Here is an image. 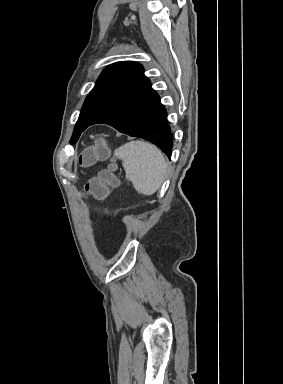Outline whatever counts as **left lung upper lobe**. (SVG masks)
<instances>
[{
	"label": "left lung upper lobe",
	"instance_id": "left-lung-upper-lobe-1",
	"mask_svg": "<svg viewBox=\"0 0 283 384\" xmlns=\"http://www.w3.org/2000/svg\"><path fill=\"white\" fill-rule=\"evenodd\" d=\"M143 67L132 61L116 62L104 69L86 97L70 142L75 143L87 125L118 104L147 78Z\"/></svg>",
	"mask_w": 283,
	"mask_h": 384
}]
</instances>
